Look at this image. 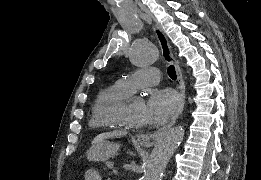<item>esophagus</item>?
I'll use <instances>...</instances> for the list:
<instances>
[{
	"label": "esophagus",
	"mask_w": 261,
	"mask_h": 180,
	"mask_svg": "<svg viewBox=\"0 0 261 180\" xmlns=\"http://www.w3.org/2000/svg\"><path fill=\"white\" fill-rule=\"evenodd\" d=\"M153 30L159 41L163 59L168 64H174L177 79L179 82L180 105L177 113L171 118V120L166 125H164V127L159 128V130H157L154 133H145V134L138 135V141L145 147H153V145H155V143L158 142V140L162 137V135L165 134V132H167V130H169L174 125L177 118L181 115L185 104V82L182 76L181 69L178 65V62L175 59L172 50L170 48L168 39L166 35L163 33V31L161 30V28L158 25H154Z\"/></svg>",
	"instance_id": "obj_1"
}]
</instances>
